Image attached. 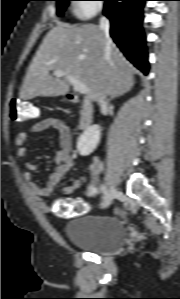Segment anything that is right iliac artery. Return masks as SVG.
I'll use <instances>...</instances> for the list:
<instances>
[{
	"instance_id": "obj_1",
	"label": "right iliac artery",
	"mask_w": 180,
	"mask_h": 299,
	"mask_svg": "<svg viewBox=\"0 0 180 299\" xmlns=\"http://www.w3.org/2000/svg\"><path fill=\"white\" fill-rule=\"evenodd\" d=\"M100 190H101V192L104 194V196L106 195V193H107V189H106V186L105 185H101L100 186Z\"/></svg>"
}]
</instances>
